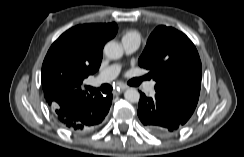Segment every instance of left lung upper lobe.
I'll use <instances>...</instances> for the list:
<instances>
[{"label": "left lung upper lobe", "instance_id": "obj_1", "mask_svg": "<svg viewBox=\"0 0 244 157\" xmlns=\"http://www.w3.org/2000/svg\"><path fill=\"white\" fill-rule=\"evenodd\" d=\"M139 65L156 81V94L189 120L199 99L202 66L196 47L173 27L158 26L149 36Z\"/></svg>", "mask_w": 244, "mask_h": 157}]
</instances>
